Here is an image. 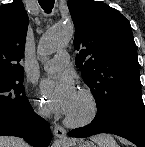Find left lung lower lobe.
Returning a JSON list of instances; mask_svg holds the SVG:
<instances>
[{
    "label": "left lung lower lobe",
    "instance_id": "obj_1",
    "mask_svg": "<svg viewBox=\"0 0 145 147\" xmlns=\"http://www.w3.org/2000/svg\"><path fill=\"white\" fill-rule=\"evenodd\" d=\"M99 133H111L133 142L137 147H145V106L136 103L114 113L106 121L96 118L87 126L70 131V137H89Z\"/></svg>",
    "mask_w": 145,
    "mask_h": 147
}]
</instances>
